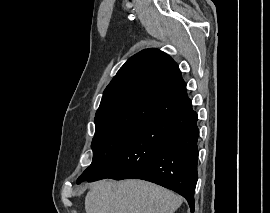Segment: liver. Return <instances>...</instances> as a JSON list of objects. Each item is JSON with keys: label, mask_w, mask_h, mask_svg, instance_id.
Returning <instances> with one entry per match:
<instances>
[{"label": "liver", "mask_w": 270, "mask_h": 213, "mask_svg": "<svg viewBox=\"0 0 270 213\" xmlns=\"http://www.w3.org/2000/svg\"><path fill=\"white\" fill-rule=\"evenodd\" d=\"M182 198L141 180L100 181L85 198L86 213H174Z\"/></svg>", "instance_id": "1"}]
</instances>
